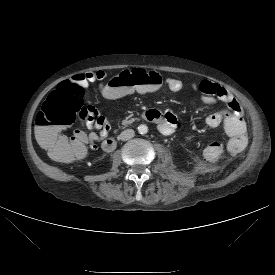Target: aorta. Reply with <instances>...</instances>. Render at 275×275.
Returning a JSON list of instances; mask_svg holds the SVG:
<instances>
[{
    "instance_id": "obj_1",
    "label": "aorta",
    "mask_w": 275,
    "mask_h": 275,
    "mask_svg": "<svg viewBox=\"0 0 275 275\" xmlns=\"http://www.w3.org/2000/svg\"><path fill=\"white\" fill-rule=\"evenodd\" d=\"M138 132L140 134H146L148 132V127L144 124L138 126Z\"/></svg>"
}]
</instances>
